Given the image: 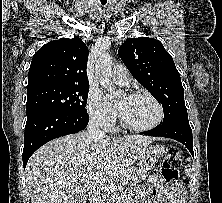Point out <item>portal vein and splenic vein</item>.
I'll use <instances>...</instances> for the list:
<instances>
[{"label": "portal vein and splenic vein", "instance_id": "1", "mask_svg": "<svg viewBox=\"0 0 222 203\" xmlns=\"http://www.w3.org/2000/svg\"><path fill=\"white\" fill-rule=\"evenodd\" d=\"M127 181H128V179L122 180V182H124V183ZM101 186H102V188L106 189L107 191H114L117 187L114 182L104 183Z\"/></svg>", "mask_w": 222, "mask_h": 203}]
</instances>
